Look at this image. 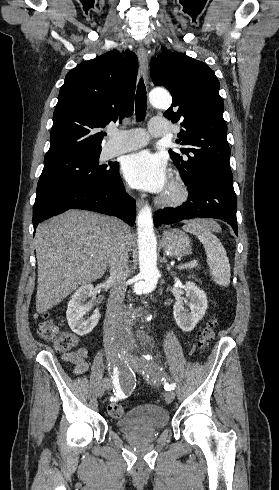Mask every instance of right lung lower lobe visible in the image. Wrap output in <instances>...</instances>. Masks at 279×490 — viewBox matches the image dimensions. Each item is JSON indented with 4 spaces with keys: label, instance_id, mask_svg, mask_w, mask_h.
<instances>
[{
    "label": "right lung lower lobe",
    "instance_id": "obj_1",
    "mask_svg": "<svg viewBox=\"0 0 279 490\" xmlns=\"http://www.w3.org/2000/svg\"><path fill=\"white\" fill-rule=\"evenodd\" d=\"M135 208V201L125 192L118 169L105 181L37 190L32 221L35 231L38 223L54 215L68 209H83L119 217L133 226Z\"/></svg>",
    "mask_w": 279,
    "mask_h": 490
}]
</instances>
